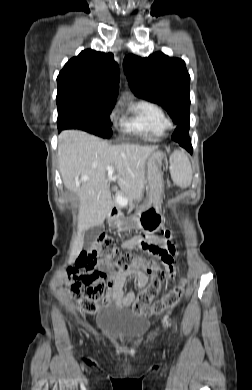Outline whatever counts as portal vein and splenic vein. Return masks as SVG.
Masks as SVG:
<instances>
[{
  "mask_svg": "<svg viewBox=\"0 0 252 390\" xmlns=\"http://www.w3.org/2000/svg\"><path fill=\"white\" fill-rule=\"evenodd\" d=\"M108 170L110 171L111 170V167H108ZM90 177L85 175V176H82L80 178L81 181H87L89 180ZM117 201L119 202V204H126L128 202V199H124V198H121V197H118Z\"/></svg>",
  "mask_w": 252,
  "mask_h": 390,
  "instance_id": "1",
  "label": "portal vein and splenic vein"
}]
</instances>
